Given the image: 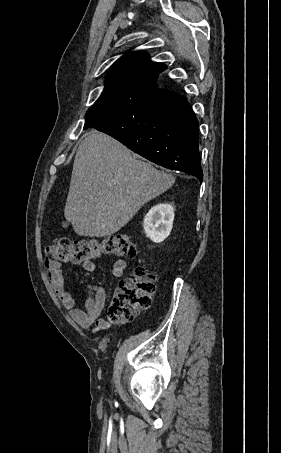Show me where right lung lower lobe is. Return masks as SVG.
Segmentation results:
<instances>
[{"label": "right lung lower lobe", "instance_id": "obj_1", "mask_svg": "<svg viewBox=\"0 0 281 453\" xmlns=\"http://www.w3.org/2000/svg\"><path fill=\"white\" fill-rule=\"evenodd\" d=\"M94 127L142 157L203 180L198 149V121L181 95L156 88L129 101L86 113Z\"/></svg>", "mask_w": 281, "mask_h": 453}]
</instances>
